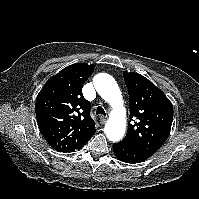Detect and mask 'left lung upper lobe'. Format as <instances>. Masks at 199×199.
Masks as SVG:
<instances>
[{"label":"left lung upper lobe","instance_id":"left-lung-upper-lobe-1","mask_svg":"<svg viewBox=\"0 0 199 199\" xmlns=\"http://www.w3.org/2000/svg\"><path fill=\"white\" fill-rule=\"evenodd\" d=\"M129 93L130 122L122 140L152 156L167 139L173 120V106L151 81L137 73L123 72Z\"/></svg>","mask_w":199,"mask_h":199}]
</instances>
